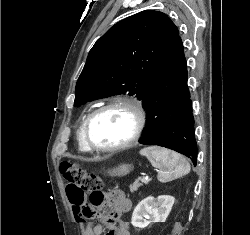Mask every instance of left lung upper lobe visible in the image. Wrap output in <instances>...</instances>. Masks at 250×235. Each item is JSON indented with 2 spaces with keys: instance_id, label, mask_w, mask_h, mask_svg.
<instances>
[{
  "instance_id": "left-lung-upper-lobe-1",
  "label": "left lung upper lobe",
  "mask_w": 250,
  "mask_h": 235,
  "mask_svg": "<svg viewBox=\"0 0 250 235\" xmlns=\"http://www.w3.org/2000/svg\"><path fill=\"white\" fill-rule=\"evenodd\" d=\"M178 37L176 25L159 11L119 21L90 50L74 106L127 92L142 99Z\"/></svg>"
}]
</instances>
